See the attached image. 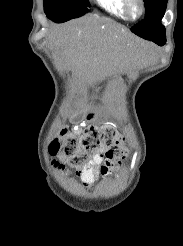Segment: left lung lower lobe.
Listing matches in <instances>:
<instances>
[{"label":"left lung lower lobe","mask_w":183,"mask_h":246,"mask_svg":"<svg viewBox=\"0 0 183 246\" xmlns=\"http://www.w3.org/2000/svg\"><path fill=\"white\" fill-rule=\"evenodd\" d=\"M154 43L158 44L159 46H163L166 43V37H160V38H152Z\"/></svg>","instance_id":"1"}]
</instances>
